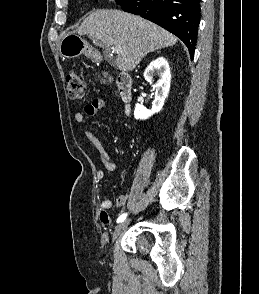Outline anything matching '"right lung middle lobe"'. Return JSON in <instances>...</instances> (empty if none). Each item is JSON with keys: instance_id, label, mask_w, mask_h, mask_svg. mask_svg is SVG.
<instances>
[{"instance_id": "obj_1", "label": "right lung middle lobe", "mask_w": 259, "mask_h": 294, "mask_svg": "<svg viewBox=\"0 0 259 294\" xmlns=\"http://www.w3.org/2000/svg\"><path fill=\"white\" fill-rule=\"evenodd\" d=\"M115 1H116L117 4L120 5L121 3L125 2L126 0H115Z\"/></svg>"}]
</instances>
